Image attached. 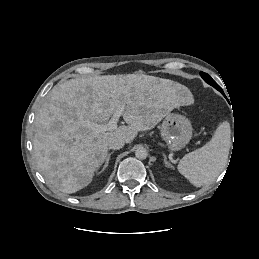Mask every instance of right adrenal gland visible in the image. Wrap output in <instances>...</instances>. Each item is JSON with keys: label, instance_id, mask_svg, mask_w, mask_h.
I'll list each match as a JSON object with an SVG mask.
<instances>
[{"label": "right adrenal gland", "instance_id": "obj_1", "mask_svg": "<svg viewBox=\"0 0 259 259\" xmlns=\"http://www.w3.org/2000/svg\"><path fill=\"white\" fill-rule=\"evenodd\" d=\"M113 153H114V151H112V152H110V153L107 154L101 172H103V171L107 168V166H108V164H109V161H110V158H111V155H112Z\"/></svg>", "mask_w": 259, "mask_h": 259}]
</instances>
